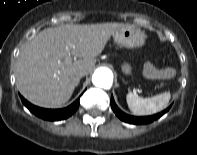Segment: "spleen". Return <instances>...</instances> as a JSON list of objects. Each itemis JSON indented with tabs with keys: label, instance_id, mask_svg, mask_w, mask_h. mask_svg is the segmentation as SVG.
<instances>
[{
	"label": "spleen",
	"instance_id": "1",
	"mask_svg": "<svg viewBox=\"0 0 197 155\" xmlns=\"http://www.w3.org/2000/svg\"><path fill=\"white\" fill-rule=\"evenodd\" d=\"M171 98L170 92H164L151 98H141L129 92L126 101L129 109L135 115H151L163 110Z\"/></svg>",
	"mask_w": 197,
	"mask_h": 155
}]
</instances>
